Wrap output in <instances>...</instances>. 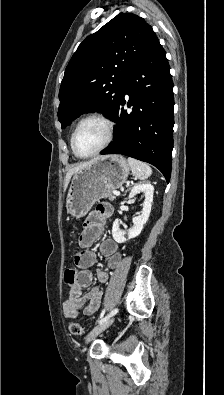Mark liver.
Listing matches in <instances>:
<instances>
[{
	"instance_id": "liver-1",
	"label": "liver",
	"mask_w": 224,
	"mask_h": 395,
	"mask_svg": "<svg viewBox=\"0 0 224 395\" xmlns=\"http://www.w3.org/2000/svg\"><path fill=\"white\" fill-rule=\"evenodd\" d=\"M97 159H98V157H97V158H94V159H91L90 161L80 163L79 165H77V166L71 168V169L67 172V174H66L65 182H64V189L67 188V186H68V184H69V182H70V179H71V177H72L73 174H75L77 171H79V170H81V169H83V168H85V167L91 165V164L94 163Z\"/></svg>"
}]
</instances>
